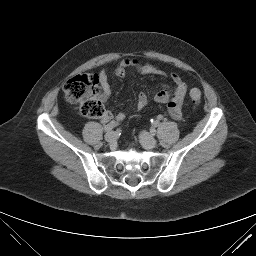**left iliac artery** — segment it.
<instances>
[{
  "label": "left iliac artery",
  "instance_id": "left-iliac-artery-1",
  "mask_svg": "<svg viewBox=\"0 0 256 256\" xmlns=\"http://www.w3.org/2000/svg\"><path fill=\"white\" fill-rule=\"evenodd\" d=\"M152 125H153L154 127H157V126L159 125V121H158V120H153V121H152Z\"/></svg>",
  "mask_w": 256,
  "mask_h": 256
}]
</instances>
